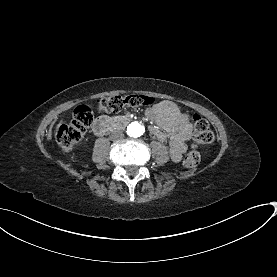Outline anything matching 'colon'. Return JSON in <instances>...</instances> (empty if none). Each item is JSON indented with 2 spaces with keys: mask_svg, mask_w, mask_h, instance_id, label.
<instances>
[{
  "mask_svg": "<svg viewBox=\"0 0 277 277\" xmlns=\"http://www.w3.org/2000/svg\"><path fill=\"white\" fill-rule=\"evenodd\" d=\"M153 103L154 98L148 95L132 94L101 97L95 100L94 106H81L74 112L70 120L62 122L57 131V139L63 148L72 149L90 126L95 112L117 113L122 111L126 106H150ZM213 140L214 133L209 123L203 117H195L193 119L194 145L209 144ZM200 161L201 155L198 152H189L184 157V165L189 168L198 166Z\"/></svg>",
  "mask_w": 277,
  "mask_h": 277,
  "instance_id": "5ec220e1",
  "label": "colon"
}]
</instances>
